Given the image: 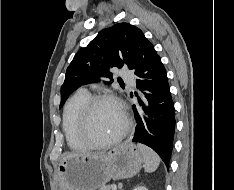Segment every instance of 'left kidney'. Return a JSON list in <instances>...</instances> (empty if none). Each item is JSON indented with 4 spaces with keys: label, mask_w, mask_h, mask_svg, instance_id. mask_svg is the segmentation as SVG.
Segmentation results:
<instances>
[{
    "label": "left kidney",
    "mask_w": 234,
    "mask_h": 190,
    "mask_svg": "<svg viewBox=\"0 0 234 190\" xmlns=\"http://www.w3.org/2000/svg\"><path fill=\"white\" fill-rule=\"evenodd\" d=\"M133 190H148L145 186H137Z\"/></svg>",
    "instance_id": "left-kidney-1"
}]
</instances>
